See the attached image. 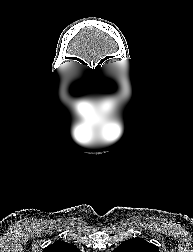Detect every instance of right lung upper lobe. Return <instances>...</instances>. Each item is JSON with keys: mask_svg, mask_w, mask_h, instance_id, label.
<instances>
[{"mask_svg": "<svg viewBox=\"0 0 193 252\" xmlns=\"http://www.w3.org/2000/svg\"><path fill=\"white\" fill-rule=\"evenodd\" d=\"M43 252H80L74 244H68L63 241H56L55 243L46 247Z\"/></svg>", "mask_w": 193, "mask_h": 252, "instance_id": "cb5924a9", "label": "right lung upper lobe"}]
</instances>
